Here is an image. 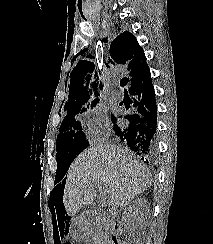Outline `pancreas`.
<instances>
[{
    "label": "pancreas",
    "mask_w": 213,
    "mask_h": 244,
    "mask_svg": "<svg viewBox=\"0 0 213 244\" xmlns=\"http://www.w3.org/2000/svg\"><path fill=\"white\" fill-rule=\"evenodd\" d=\"M90 232H91V233H93V232H94V228H93V227L91 228V231H90Z\"/></svg>",
    "instance_id": "pancreas-1"
}]
</instances>
